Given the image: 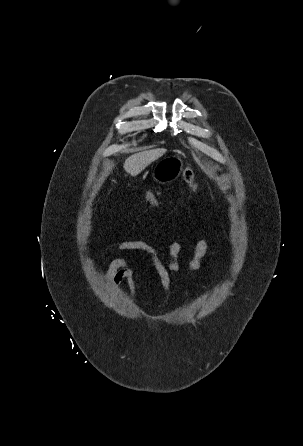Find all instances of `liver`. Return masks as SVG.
Returning a JSON list of instances; mask_svg holds the SVG:
<instances>
[{
	"instance_id": "obj_1",
	"label": "liver",
	"mask_w": 303,
	"mask_h": 446,
	"mask_svg": "<svg viewBox=\"0 0 303 446\" xmlns=\"http://www.w3.org/2000/svg\"><path fill=\"white\" fill-rule=\"evenodd\" d=\"M163 153H165L164 149H154L135 153L126 159L123 167L131 176H137L150 163L163 155Z\"/></svg>"
}]
</instances>
